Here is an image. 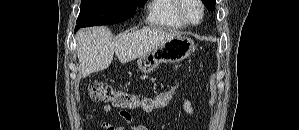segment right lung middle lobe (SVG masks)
Segmentation results:
<instances>
[{
	"instance_id": "obj_1",
	"label": "right lung middle lobe",
	"mask_w": 299,
	"mask_h": 130,
	"mask_svg": "<svg viewBox=\"0 0 299 130\" xmlns=\"http://www.w3.org/2000/svg\"><path fill=\"white\" fill-rule=\"evenodd\" d=\"M147 0H82L77 27L115 24L135 14Z\"/></svg>"
}]
</instances>
